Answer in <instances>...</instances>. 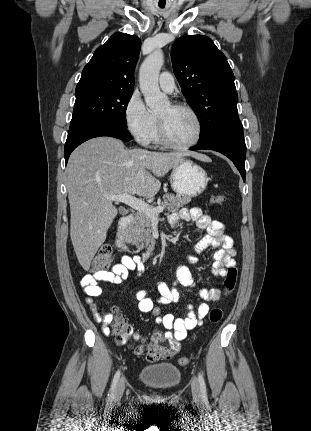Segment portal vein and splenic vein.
Returning a JSON list of instances; mask_svg holds the SVG:
<instances>
[{
  "instance_id": "18ae733b",
  "label": "portal vein and splenic vein",
  "mask_w": 311,
  "mask_h": 431,
  "mask_svg": "<svg viewBox=\"0 0 311 431\" xmlns=\"http://www.w3.org/2000/svg\"><path fill=\"white\" fill-rule=\"evenodd\" d=\"M106 200H112V202H123V204H127L133 210H137V212H143V214H147L150 217H158L160 212H163L164 206H157V208H153L150 204H145L142 200H138V198H134V196H130L127 192L121 194V196H105Z\"/></svg>"
}]
</instances>
